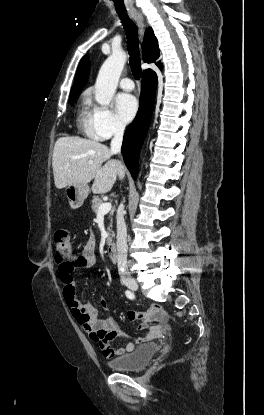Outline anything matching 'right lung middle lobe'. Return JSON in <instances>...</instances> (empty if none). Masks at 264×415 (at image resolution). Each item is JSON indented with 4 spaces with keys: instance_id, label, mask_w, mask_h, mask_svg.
Returning a JSON list of instances; mask_svg holds the SVG:
<instances>
[{
    "instance_id": "obj_1",
    "label": "right lung middle lobe",
    "mask_w": 264,
    "mask_h": 415,
    "mask_svg": "<svg viewBox=\"0 0 264 415\" xmlns=\"http://www.w3.org/2000/svg\"><path fill=\"white\" fill-rule=\"evenodd\" d=\"M77 96H78V95H76V96H71V97H70V99H69V104H72V103L76 100Z\"/></svg>"
}]
</instances>
